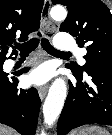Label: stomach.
Here are the masks:
<instances>
[{
    "label": "stomach",
    "mask_w": 112,
    "mask_h": 135,
    "mask_svg": "<svg viewBox=\"0 0 112 135\" xmlns=\"http://www.w3.org/2000/svg\"><path fill=\"white\" fill-rule=\"evenodd\" d=\"M75 135H109V133L99 126H89L76 132Z\"/></svg>",
    "instance_id": "stomach-1"
}]
</instances>
